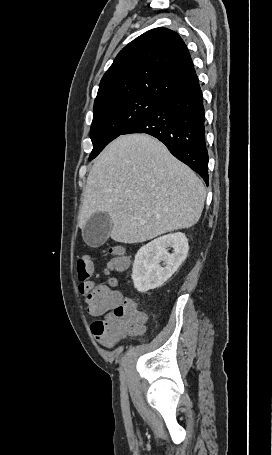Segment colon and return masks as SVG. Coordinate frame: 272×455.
Here are the masks:
<instances>
[{
	"mask_svg": "<svg viewBox=\"0 0 272 455\" xmlns=\"http://www.w3.org/2000/svg\"><path fill=\"white\" fill-rule=\"evenodd\" d=\"M111 259L108 268L122 271L127 267V258L120 247L109 249ZM79 292L84 297L88 312L97 319L91 324L95 339L109 347L120 338L138 334L143 330L144 315L131 300H124L111 285L98 284L92 280L94 262L89 256L77 261Z\"/></svg>",
	"mask_w": 272,
	"mask_h": 455,
	"instance_id": "5ec220e1",
	"label": "colon"
}]
</instances>
